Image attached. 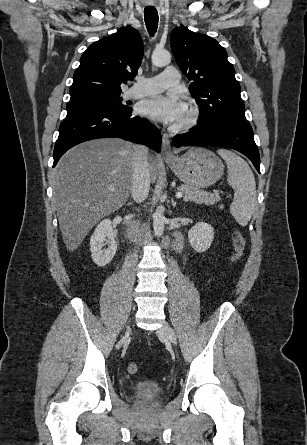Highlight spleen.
Returning <instances> with one entry per match:
<instances>
[{"instance_id":"1","label":"spleen","mask_w":307,"mask_h":445,"mask_svg":"<svg viewBox=\"0 0 307 445\" xmlns=\"http://www.w3.org/2000/svg\"><path fill=\"white\" fill-rule=\"evenodd\" d=\"M218 154L224 158L228 168V182L234 190L230 212L238 225L246 227L256 210L257 192L254 174L246 160L226 148H219Z\"/></svg>"}]
</instances>
